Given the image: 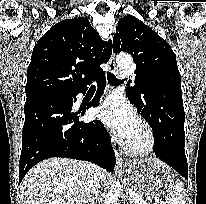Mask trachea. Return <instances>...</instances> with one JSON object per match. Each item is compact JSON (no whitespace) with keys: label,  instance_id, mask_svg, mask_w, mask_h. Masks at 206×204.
<instances>
[{"label":"trachea","instance_id":"trachea-1","mask_svg":"<svg viewBox=\"0 0 206 204\" xmlns=\"http://www.w3.org/2000/svg\"><path fill=\"white\" fill-rule=\"evenodd\" d=\"M107 79H108V82L113 84V85L119 84L121 82V80H118L116 78V76L113 75L111 72H107ZM92 87H94V86L92 85Z\"/></svg>","mask_w":206,"mask_h":204}]
</instances>
